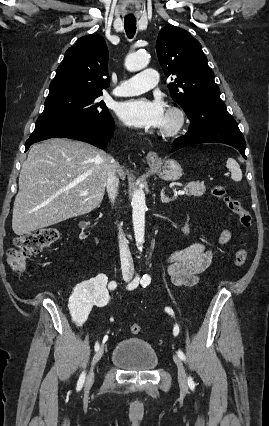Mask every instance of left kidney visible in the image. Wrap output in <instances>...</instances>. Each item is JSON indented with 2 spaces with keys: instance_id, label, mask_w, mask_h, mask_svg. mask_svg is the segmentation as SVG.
Instances as JSON below:
<instances>
[{
  "instance_id": "5707ae66",
  "label": "left kidney",
  "mask_w": 269,
  "mask_h": 426,
  "mask_svg": "<svg viewBox=\"0 0 269 426\" xmlns=\"http://www.w3.org/2000/svg\"><path fill=\"white\" fill-rule=\"evenodd\" d=\"M182 232L184 233V234H189V232H190V229H189V227L188 226H185L183 229H182Z\"/></svg>"
}]
</instances>
